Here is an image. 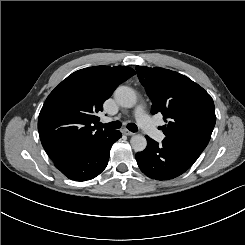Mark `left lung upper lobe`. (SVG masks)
Returning a JSON list of instances; mask_svg holds the SVG:
<instances>
[{
  "label": "left lung upper lobe",
  "instance_id": "left-lung-upper-lobe-1",
  "mask_svg": "<svg viewBox=\"0 0 245 245\" xmlns=\"http://www.w3.org/2000/svg\"><path fill=\"white\" fill-rule=\"evenodd\" d=\"M138 78L153 105L152 114L161 113L167 125L161 129L166 139L202 153L215 126L211 96L188 77L163 68L136 66Z\"/></svg>",
  "mask_w": 245,
  "mask_h": 245
}]
</instances>
